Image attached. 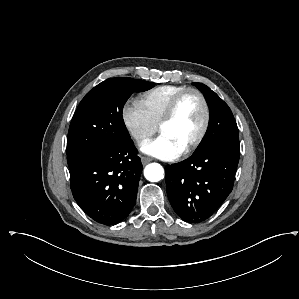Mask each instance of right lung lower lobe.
I'll list each match as a JSON object with an SVG mask.
<instances>
[{
	"label": "right lung lower lobe",
	"mask_w": 299,
	"mask_h": 299,
	"mask_svg": "<svg viewBox=\"0 0 299 299\" xmlns=\"http://www.w3.org/2000/svg\"><path fill=\"white\" fill-rule=\"evenodd\" d=\"M141 171V160L131 140L70 169V187L78 205L92 219L112 225L133 208Z\"/></svg>",
	"instance_id": "1"
}]
</instances>
